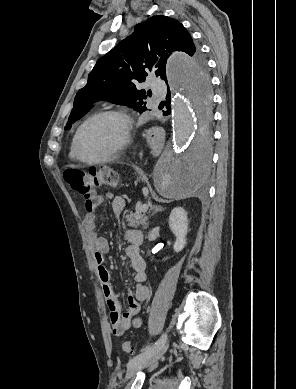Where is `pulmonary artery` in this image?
Instances as JSON below:
<instances>
[{"label":"pulmonary artery","instance_id":"pulmonary-artery-1","mask_svg":"<svg viewBox=\"0 0 296 389\" xmlns=\"http://www.w3.org/2000/svg\"><path fill=\"white\" fill-rule=\"evenodd\" d=\"M151 89H152L154 92H156V93H158V94H160V95H163V94H164V91H165L164 85H163L162 83H160V82H157V81H153V82L151 83Z\"/></svg>","mask_w":296,"mask_h":389}]
</instances>
